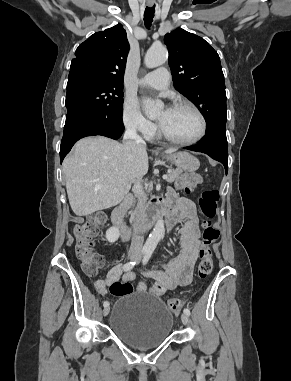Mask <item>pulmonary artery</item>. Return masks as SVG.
<instances>
[{
	"label": "pulmonary artery",
	"instance_id": "e3ab8cb5",
	"mask_svg": "<svg viewBox=\"0 0 291 381\" xmlns=\"http://www.w3.org/2000/svg\"><path fill=\"white\" fill-rule=\"evenodd\" d=\"M170 83L169 71L164 68H158L139 80V84L146 87H151L157 90H166Z\"/></svg>",
	"mask_w": 291,
	"mask_h": 381
}]
</instances>
